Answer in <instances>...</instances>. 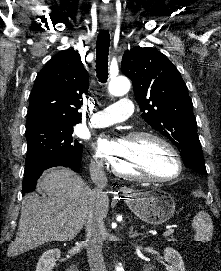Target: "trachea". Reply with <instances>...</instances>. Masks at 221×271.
Segmentation results:
<instances>
[{
  "instance_id": "obj_1",
  "label": "trachea",
  "mask_w": 221,
  "mask_h": 271,
  "mask_svg": "<svg viewBox=\"0 0 221 271\" xmlns=\"http://www.w3.org/2000/svg\"><path fill=\"white\" fill-rule=\"evenodd\" d=\"M109 47L110 34L107 30H101L96 42V73L101 83H105L108 79Z\"/></svg>"
}]
</instances>
